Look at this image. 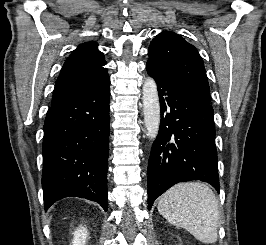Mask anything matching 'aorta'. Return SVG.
<instances>
[{"label":"aorta","mask_w":266,"mask_h":245,"mask_svg":"<svg viewBox=\"0 0 266 245\" xmlns=\"http://www.w3.org/2000/svg\"><path fill=\"white\" fill-rule=\"evenodd\" d=\"M142 94L146 137L155 141L160 127V102L157 84L152 76L145 78Z\"/></svg>","instance_id":"obj_1"}]
</instances>
